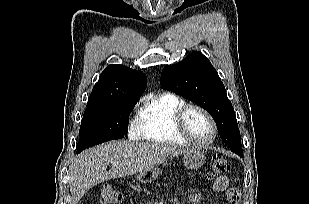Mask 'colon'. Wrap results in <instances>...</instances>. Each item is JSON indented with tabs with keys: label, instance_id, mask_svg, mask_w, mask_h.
<instances>
[{
	"label": "colon",
	"instance_id": "1",
	"mask_svg": "<svg viewBox=\"0 0 309 204\" xmlns=\"http://www.w3.org/2000/svg\"><path fill=\"white\" fill-rule=\"evenodd\" d=\"M230 168V162L223 155H215L211 162L209 175L211 177H220L227 173ZM122 199V194L112 185H105L101 189L100 202L102 204H118ZM238 200L239 198H234L233 204H237Z\"/></svg>",
	"mask_w": 309,
	"mask_h": 204
}]
</instances>
